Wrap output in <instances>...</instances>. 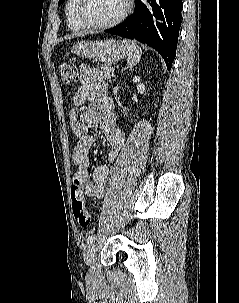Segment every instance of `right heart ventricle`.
Segmentation results:
<instances>
[{
  "label": "right heart ventricle",
  "instance_id": "obj_1",
  "mask_svg": "<svg viewBox=\"0 0 239 303\" xmlns=\"http://www.w3.org/2000/svg\"><path fill=\"white\" fill-rule=\"evenodd\" d=\"M76 0H67L65 5V15H66V21L67 25L70 29L74 31H80L83 30L84 27L77 21L75 14H74V6H75Z\"/></svg>",
  "mask_w": 239,
  "mask_h": 303
}]
</instances>
